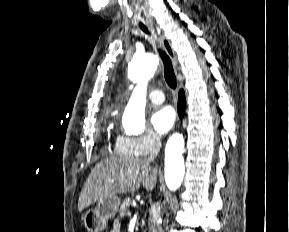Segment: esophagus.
Returning <instances> with one entry per match:
<instances>
[{"label": "esophagus", "instance_id": "esophagus-1", "mask_svg": "<svg viewBox=\"0 0 289 232\" xmlns=\"http://www.w3.org/2000/svg\"><path fill=\"white\" fill-rule=\"evenodd\" d=\"M160 39H161V42L163 44V47H164L166 53L168 54V56L172 60L173 66L176 68L177 64H178V60H177L176 52H175L173 46L171 45V42L164 35H160Z\"/></svg>", "mask_w": 289, "mask_h": 232}]
</instances>
